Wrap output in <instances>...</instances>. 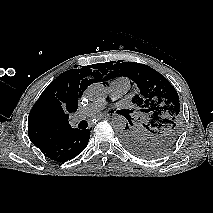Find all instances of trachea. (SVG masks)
Returning <instances> with one entry per match:
<instances>
[{
	"label": "trachea",
	"mask_w": 213,
	"mask_h": 213,
	"mask_svg": "<svg viewBox=\"0 0 213 213\" xmlns=\"http://www.w3.org/2000/svg\"><path fill=\"white\" fill-rule=\"evenodd\" d=\"M79 128L80 129H85V128H87V126H88V123L86 122V121H81L80 123H79Z\"/></svg>",
	"instance_id": "obj_1"
}]
</instances>
